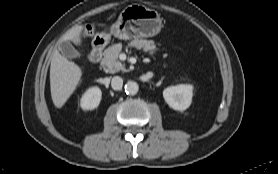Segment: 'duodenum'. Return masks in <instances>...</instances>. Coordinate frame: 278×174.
<instances>
[{
    "instance_id": "duodenum-1",
    "label": "duodenum",
    "mask_w": 278,
    "mask_h": 174,
    "mask_svg": "<svg viewBox=\"0 0 278 174\" xmlns=\"http://www.w3.org/2000/svg\"><path fill=\"white\" fill-rule=\"evenodd\" d=\"M105 45L106 41L102 37H96L94 39L92 49L89 53V60L92 63H97L100 61Z\"/></svg>"
}]
</instances>
